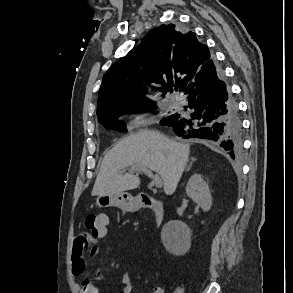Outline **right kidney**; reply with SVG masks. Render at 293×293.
Returning a JSON list of instances; mask_svg holds the SVG:
<instances>
[{
    "label": "right kidney",
    "instance_id": "1",
    "mask_svg": "<svg viewBox=\"0 0 293 293\" xmlns=\"http://www.w3.org/2000/svg\"><path fill=\"white\" fill-rule=\"evenodd\" d=\"M186 194L203 211H209L212 206V197L208 184L203 180L200 174H194L189 179L186 186ZM204 222H202L203 224ZM179 226L180 232H174L173 226ZM190 229L184 223L170 221L163 228L161 240L166 250L172 254H181L190 246Z\"/></svg>",
    "mask_w": 293,
    "mask_h": 293
}]
</instances>
